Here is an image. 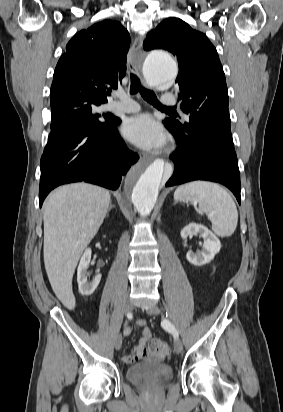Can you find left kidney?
I'll return each instance as SVG.
<instances>
[{
	"label": "left kidney",
	"mask_w": 283,
	"mask_h": 412,
	"mask_svg": "<svg viewBox=\"0 0 283 412\" xmlns=\"http://www.w3.org/2000/svg\"><path fill=\"white\" fill-rule=\"evenodd\" d=\"M180 234L182 239H187V237L196 234H200L204 239L202 251L194 253L190 250L186 254L187 260L195 266L209 263L221 249L220 240L203 225L190 223L181 230Z\"/></svg>",
	"instance_id": "left-kidney-1"
}]
</instances>
